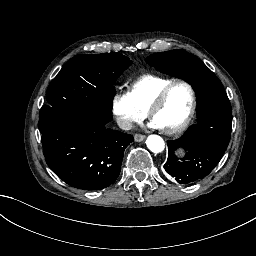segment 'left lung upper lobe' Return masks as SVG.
<instances>
[{
  "mask_svg": "<svg viewBox=\"0 0 256 256\" xmlns=\"http://www.w3.org/2000/svg\"><path fill=\"white\" fill-rule=\"evenodd\" d=\"M146 62L160 72L187 81L196 92L198 124L177 140L168 141L166 172L207 176L224 154L231 136L232 113L227 94L214 73L193 54L183 50L155 53ZM183 147L178 160L174 151Z\"/></svg>",
  "mask_w": 256,
  "mask_h": 256,
  "instance_id": "5c2ea615",
  "label": "left lung upper lobe"
}]
</instances>
